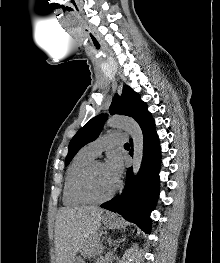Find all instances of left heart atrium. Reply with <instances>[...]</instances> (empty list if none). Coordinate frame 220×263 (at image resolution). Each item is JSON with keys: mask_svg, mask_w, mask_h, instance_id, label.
Wrapping results in <instances>:
<instances>
[{"mask_svg": "<svg viewBox=\"0 0 220 263\" xmlns=\"http://www.w3.org/2000/svg\"><path fill=\"white\" fill-rule=\"evenodd\" d=\"M105 165V169L108 175L115 181L118 182L123 171V163L119 155L113 153L109 155Z\"/></svg>", "mask_w": 220, "mask_h": 263, "instance_id": "39dd6f15", "label": "left heart atrium"}]
</instances>
